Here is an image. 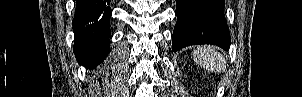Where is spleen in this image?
Listing matches in <instances>:
<instances>
[{"label": "spleen", "instance_id": "obj_1", "mask_svg": "<svg viewBox=\"0 0 302 97\" xmlns=\"http://www.w3.org/2000/svg\"><path fill=\"white\" fill-rule=\"evenodd\" d=\"M193 60L210 71H222L225 62L220 52L212 46H198L192 52Z\"/></svg>", "mask_w": 302, "mask_h": 97}]
</instances>
